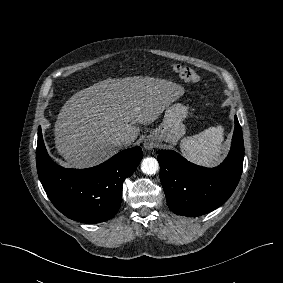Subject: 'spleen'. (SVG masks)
Here are the masks:
<instances>
[{"instance_id": "spleen-1", "label": "spleen", "mask_w": 283, "mask_h": 283, "mask_svg": "<svg viewBox=\"0 0 283 283\" xmlns=\"http://www.w3.org/2000/svg\"><path fill=\"white\" fill-rule=\"evenodd\" d=\"M224 129L210 127L194 136L181 140L180 149L189 161L199 165L215 166L220 161Z\"/></svg>"}]
</instances>
